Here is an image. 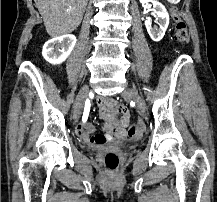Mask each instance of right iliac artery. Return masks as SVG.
<instances>
[{
	"mask_svg": "<svg viewBox=\"0 0 217 202\" xmlns=\"http://www.w3.org/2000/svg\"><path fill=\"white\" fill-rule=\"evenodd\" d=\"M90 109H92V102L91 101H86L85 102V109L82 115V120L85 122L89 116Z\"/></svg>",
	"mask_w": 217,
	"mask_h": 202,
	"instance_id": "1",
	"label": "right iliac artery"
}]
</instances>
